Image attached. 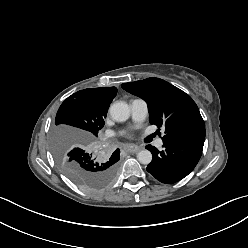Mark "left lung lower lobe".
Here are the masks:
<instances>
[{"label": "left lung lower lobe", "mask_w": 248, "mask_h": 248, "mask_svg": "<svg viewBox=\"0 0 248 248\" xmlns=\"http://www.w3.org/2000/svg\"><path fill=\"white\" fill-rule=\"evenodd\" d=\"M205 129L185 132L163 142L164 150L159 152L147 145L153 159L147 171L162 183L172 184L186 177L197 165L203 150Z\"/></svg>", "instance_id": "left-lung-lower-lobe-1"}]
</instances>
